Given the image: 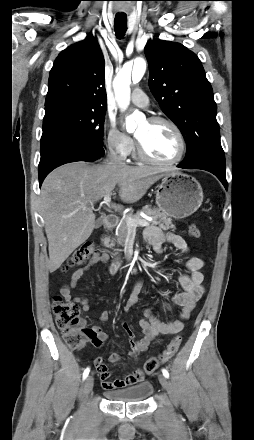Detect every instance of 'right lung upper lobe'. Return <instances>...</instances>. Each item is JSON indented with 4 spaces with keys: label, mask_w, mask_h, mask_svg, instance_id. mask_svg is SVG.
Here are the masks:
<instances>
[{
    "label": "right lung upper lobe",
    "mask_w": 254,
    "mask_h": 440,
    "mask_svg": "<svg viewBox=\"0 0 254 440\" xmlns=\"http://www.w3.org/2000/svg\"><path fill=\"white\" fill-rule=\"evenodd\" d=\"M105 61L93 36L63 50L49 74L45 109L73 104L106 110Z\"/></svg>",
    "instance_id": "right-lung-upper-lobe-1"
}]
</instances>
